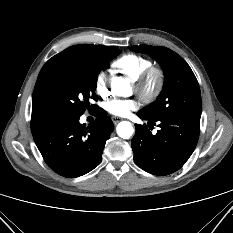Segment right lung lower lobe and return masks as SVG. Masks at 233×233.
Here are the masks:
<instances>
[{
	"label": "right lung lower lobe",
	"mask_w": 233,
	"mask_h": 233,
	"mask_svg": "<svg viewBox=\"0 0 233 233\" xmlns=\"http://www.w3.org/2000/svg\"><path fill=\"white\" fill-rule=\"evenodd\" d=\"M91 126L80 124L81 115H56L31 122L34 141L46 164L68 178L82 176L102 160L106 140L114 125L101 108Z\"/></svg>",
	"instance_id": "98d812e1"
}]
</instances>
